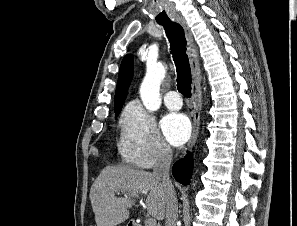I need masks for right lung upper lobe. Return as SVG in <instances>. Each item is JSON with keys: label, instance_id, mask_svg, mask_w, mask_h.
Here are the masks:
<instances>
[{"label": "right lung upper lobe", "instance_id": "1", "mask_svg": "<svg viewBox=\"0 0 297 226\" xmlns=\"http://www.w3.org/2000/svg\"><path fill=\"white\" fill-rule=\"evenodd\" d=\"M133 77V56L126 55L121 63L117 88L114 99V109L123 106L128 88Z\"/></svg>", "mask_w": 297, "mask_h": 226}]
</instances>
